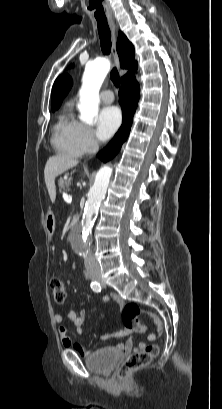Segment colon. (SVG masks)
<instances>
[{
    "instance_id": "obj_1",
    "label": "colon",
    "mask_w": 222,
    "mask_h": 409,
    "mask_svg": "<svg viewBox=\"0 0 222 409\" xmlns=\"http://www.w3.org/2000/svg\"><path fill=\"white\" fill-rule=\"evenodd\" d=\"M50 288L56 303L62 305L64 304L67 291L65 284L58 278H53L50 281ZM144 311L136 303H127L123 307L122 320L124 325L128 329H132L136 332H144L146 326L141 324L138 320V316ZM148 315L154 318V321L158 327V332H161V322L159 318L153 313L146 312ZM158 346L155 343L146 344L140 350L135 351L133 354L128 356L124 362L121 364L118 377L124 379L130 371L139 369L147 364L158 354Z\"/></svg>"
}]
</instances>
